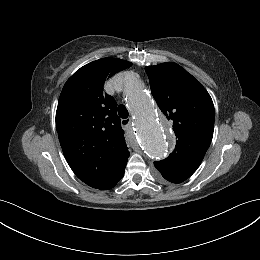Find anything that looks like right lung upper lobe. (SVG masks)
I'll use <instances>...</instances> for the list:
<instances>
[{"label": "right lung upper lobe", "mask_w": 260, "mask_h": 260, "mask_svg": "<svg viewBox=\"0 0 260 260\" xmlns=\"http://www.w3.org/2000/svg\"><path fill=\"white\" fill-rule=\"evenodd\" d=\"M132 63L102 58L78 69L65 83L56 111V128L64 156L84 183L104 188L125 172L129 151L116 114L117 103L104 83Z\"/></svg>", "instance_id": "right-lung-upper-lobe-1"}]
</instances>
